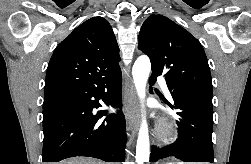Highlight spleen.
I'll list each match as a JSON object with an SVG mask.
<instances>
[{
  "instance_id": "spleen-1",
  "label": "spleen",
  "mask_w": 251,
  "mask_h": 164,
  "mask_svg": "<svg viewBox=\"0 0 251 164\" xmlns=\"http://www.w3.org/2000/svg\"><path fill=\"white\" fill-rule=\"evenodd\" d=\"M166 164H173V163H166ZM178 164H185V163H178Z\"/></svg>"
}]
</instances>
